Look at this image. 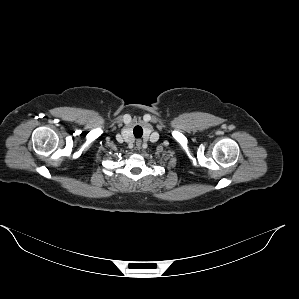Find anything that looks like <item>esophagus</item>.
<instances>
[{
    "label": "esophagus",
    "mask_w": 299,
    "mask_h": 299,
    "mask_svg": "<svg viewBox=\"0 0 299 299\" xmlns=\"http://www.w3.org/2000/svg\"><path fill=\"white\" fill-rule=\"evenodd\" d=\"M136 146H137L138 149H140V147H141V141L140 140L136 141Z\"/></svg>",
    "instance_id": "obj_1"
}]
</instances>
